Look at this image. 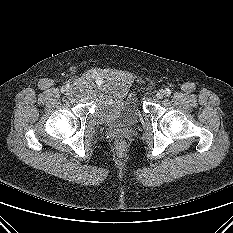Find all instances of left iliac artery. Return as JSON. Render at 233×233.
Returning a JSON list of instances; mask_svg holds the SVG:
<instances>
[{
  "label": "left iliac artery",
  "mask_w": 233,
  "mask_h": 233,
  "mask_svg": "<svg viewBox=\"0 0 233 233\" xmlns=\"http://www.w3.org/2000/svg\"><path fill=\"white\" fill-rule=\"evenodd\" d=\"M165 94H166V96H169V95L171 94V90H170L169 88H167V89L165 90Z\"/></svg>",
  "instance_id": "44dca946"
}]
</instances>
